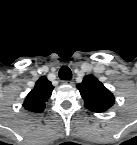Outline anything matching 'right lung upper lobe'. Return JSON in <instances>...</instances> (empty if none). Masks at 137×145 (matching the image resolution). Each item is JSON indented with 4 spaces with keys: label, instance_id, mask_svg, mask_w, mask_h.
<instances>
[{
    "label": "right lung upper lobe",
    "instance_id": "cb5924a9",
    "mask_svg": "<svg viewBox=\"0 0 137 145\" xmlns=\"http://www.w3.org/2000/svg\"><path fill=\"white\" fill-rule=\"evenodd\" d=\"M53 89L54 86L46 77H40L37 80L34 89L26 96L23 103L24 108L35 113L43 112Z\"/></svg>",
    "mask_w": 137,
    "mask_h": 145
}]
</instances>
